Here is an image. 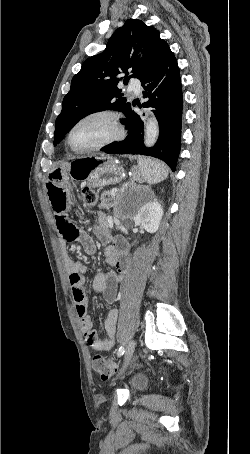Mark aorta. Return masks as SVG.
<instances>
[{
	"mask_svg": "<svg viewBox=\"0 0 250 454\" xmlns=\"http://www.w3.org/2000/svg\"><path fill=\"white\" fill-rule=\"evenodd\" d=\"M158 136H159L158 122L153 118H149L145 125L144 144L147 147L153 146L156 143Z\"/></svg>",
	"mask_w": 250,
	"mask_h": 454,
	"instance_id": "obj_1",
	"label": "aorta"
}]
</instances>
